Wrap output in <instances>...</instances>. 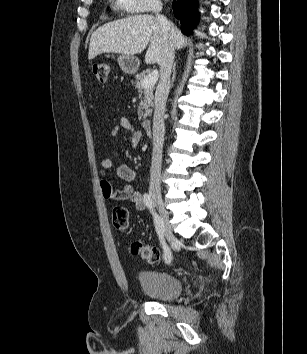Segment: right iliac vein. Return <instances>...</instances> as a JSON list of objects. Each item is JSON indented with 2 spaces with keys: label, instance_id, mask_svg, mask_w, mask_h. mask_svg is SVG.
Masks as SVG:
<instances>
[{
  "label": "right iliac vein",
  "instance_id": "1",
  "mask_svg": "<svg viewBox=\"0 0 307 354\" xmlns=\"http://www.w3.org/2000/svg\"><path fill=\"white\" fill-rule=\"evenodd\" d=\"M152 199L154 205L157 207L159 211L160 218L163 223L164 235L169 242H172L174 240V235L172 233L171 225L169 223V216L164 207L163 200L160 196L156 194H152Z\"/></svg>",
  "mask_w": 307,
  "mask_h": 354
}]
</instances>
